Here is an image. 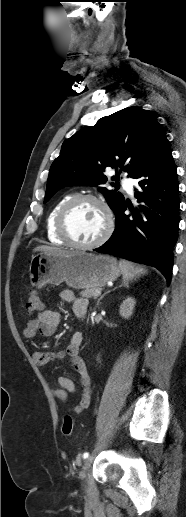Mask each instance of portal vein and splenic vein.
<instances>
[{
	"instance_id": "1",
	"label": "portal vein and splenic vein",
	"mask_w": 186,
	"mask_h": 517,
	"mask_svg": "<svg viewBox=\"0 0 186 517\" xmlns=\"http://www.w3.org/2000/svg\"><path fill=\"white\" fill-rule=\"evenodd\" d=\"M99 295H101V291L97 290V291L95 292V296H99Z\"/></svg>"
}]
</instances>
